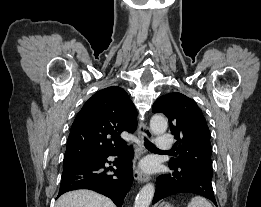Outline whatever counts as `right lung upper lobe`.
<instances>
[{
	"label": "right lung upper lobe",
	"mask_w": 261,
	"mask_h": 207,
	"mask_svg": "<svg viewBox=\"0 0 261 207\" xmlns=\"http://www.w3.org/2000/svg\"><path fill=\"white\" fill-rule=\"evenodd\" d=\"M137 111L124 89L112 86L95 93L77 114L64 161L95 158L124 148L123 131L137 128Z\"/></svg>",
	"instance_id": "cb5924a9"
}]
</instances>
